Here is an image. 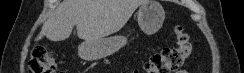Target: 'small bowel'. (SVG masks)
<instances>
[{
	"label": "small bowel",
	"instance_id": "small-bowel-1",
	"mask_svg": "<svg viewBox=\"0 0 244 73\" xmlns=\"http://www.w3.org/2000/svg\"><path fill=\"white\" fill-rule=\"evenodd\" d=\"M180 73H187L185 70H182Z\"/></svg>",
	"mask_w": 244,
	"mask_h": 73
}]
</instances>
